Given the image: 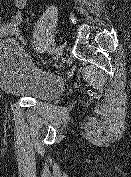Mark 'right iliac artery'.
I'll list each match as a JSON object with an SVG mask.
<instances>
[{"label":"right iliac artery","instance_id":"right-iliac-artery-1","mask_svg":"<svg viewBox=\"0 0 131 177\" xmlns=\"http://www.w3.org/2000/svg\"><path fill=\"white\" fill-rule=\"evenodd\" d=\"M48 53H49V54L55 53V48H54V47L49 48V49H48Z\"/></svg>","mask_w":131,"mask_h":177}]
</instances>
